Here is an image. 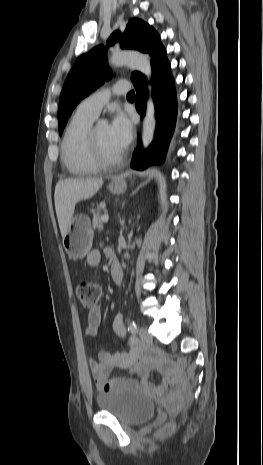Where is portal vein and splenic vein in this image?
<instances>
[{"mask_svg": "<svg viewBox=\"0 0 263 465\" xmlns=\"http://www.w3.org/2000/svg\"><path fill=\"white\" fill-rule=\"evenodd\" d=\"M108 220H109L108 214H105V215L102 216V221H103L104 223H107Z\"/></svg>", "mask_w": 263, "mask_h": 465, "instance_id": "obj_1", "label": "portal vein and splenic vein"}]
</instances>
